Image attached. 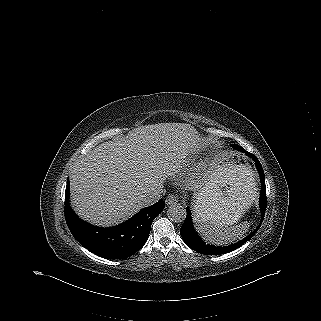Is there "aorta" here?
<instances>
[{
    "label": "aorta",
    "mask_w": 321,
    "mask_h": 321,
    "mask_svg": "<svg viewBox=\"0 0 321 321\" xmlns=\"http://www.w3.org/2000/svg\"><path fill=\"white\" fill-rule=\"evenodd\" d=\"M168 217L177 223H181L186 218V210L180 204H173L167 210Z\"/></svg>",
    "instance_id": "obj_1"
}]
</instances>
